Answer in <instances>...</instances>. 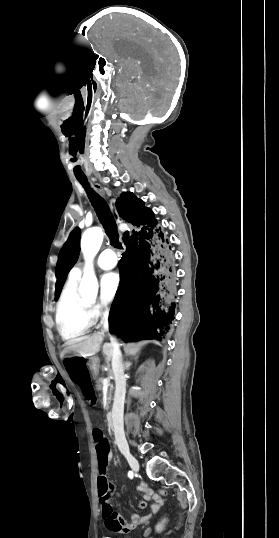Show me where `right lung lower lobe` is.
Here are the masks:
<instances>
[{"label":"right lung lower lobe","instance_id":"obj_1","mask_svg":"<svg viewBox=\"0 0 279 538\" xmlns=\"http://www.w3.org/2000/svg\"><path fill=\"white\" fill-rule=\"evenodd\" d=\"M116 207L131 228L123 234L126 251L119 261L121 279L109 323L126 340L159 339L175 314L178 287L173 253L142 200L131 192L122 193Z\"/></svg>","mask_w":279,"mask_h":538}]
</instances>
